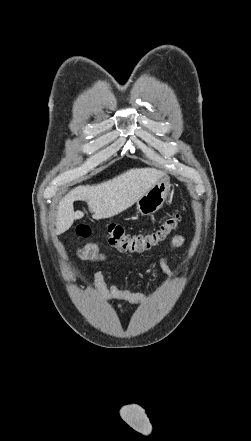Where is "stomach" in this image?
<instances>
[{
	"instance_id": "0dacf381",
	"label": "stomach",
	"mask_w": 251,
	"mask_h": 441,
	"mask_svg": "<svg viewBox=\"0 0 251 441\" xmlns=\"http://www.w3.org/2000/svg\"><path fill=\"white\" fill-rule=\"evenodd\" d=\"M170 186L169 177L162 176L136 201L137 211L142 215H151L159 210L170 192Z\"/></svg>"
}]
</instances>
